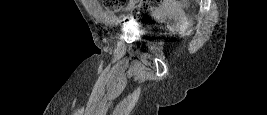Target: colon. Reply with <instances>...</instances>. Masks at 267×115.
I'll list each match as a JSON object with an SVG mask.
<instances>
[{
	"label": "colon",
	"instance_id": "1",
	"mask_svg": "<svg viewBox=\"0 0 267 115\" xmlns=\"http://www.w3.org/2000/svg\"><path fill=\"white\" fill-rule=\"evenodd\" d=\"M162 0H141L138 5L129 11H124L125 0H103L105 9L112 14H122L126 20L135 19L146 21L151 15V10L160 6Z\"/></svg>",
	"mask_w": 267,
	"mask_h": 115
}]
</instances>
